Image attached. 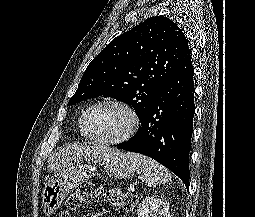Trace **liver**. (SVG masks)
I'll return each mask as SVG.
<instances>
[{"instance_id":"liver-1","label":"liver","mask_w":255,"mask_h":217,"mask_svg":"<svg viewBox=\"0 0 255 217\" xmlns=\"http://www.w3.org/2000/svg\"><path fill=\"white\" fill-rule=\"evenodd\" d=\"M108 151H110L109 148L100 144H67L48 158V172H56L61 168L80 162L84 159H97Z\"/></svg>"}]
</instances>
